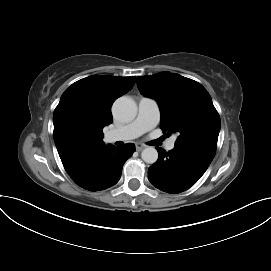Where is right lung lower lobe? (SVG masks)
Masks as SVG:
<instances>
[{
	"label": "right lung lower lobe",
	"mask_w": 271,
	"mask_h": 271,
	"mask_svg": "<svg viewBox=\"0 0 271 271\" xmlns=\"http://www.w3.org/2000/svg\"><path fill=\"white\" fill-rule=\"evenodd\" d=\"M135 152V145L107 146L97 157L87 162L69 176L80 187L99 191L115 185L125 161Z\"/></svg>",
	"instance_id": "1"
}]
</instances>
